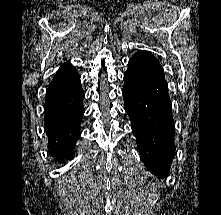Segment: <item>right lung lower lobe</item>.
I'll list each match as a JSON object with an SVG mask.
<instances>
[{
	"label": "right lung lower lobe",
	"instance_id": "obj_1",
	"mask_svg": "<svg viewBox=\"0 0 221 215\" xmlns=\"http://www.w3.org/2000/svg\"><path fill=\"white\" fill-rule=\"evenodd\" d=\"M84 92L80 76L69 62L56 72L45 99V128L50 136L49 148L59 161L70 157L80 135L84 115Z\"/></svg>",
	"mask_w": 221,
	"mask_h": 215
}]
</instances>
